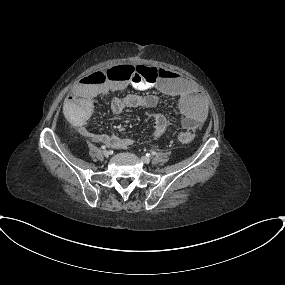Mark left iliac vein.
Segmentation results:
<instances>
[{"label":"left iliac vein","mask_w":285,"mask_h":285,"mask_svg":"<svg viewBox=\"0 0 285 285\" xmlns=\"http://www.w3.org/2000/svg\"><path fill=\"white\" fill-rule=\"evenodd\" d=\"M141 160H142L144 163H146V164H148V163L150 162V158L147 157V156L141 157Z\"/></svg>","instance_id":"1"}]
</instances>
